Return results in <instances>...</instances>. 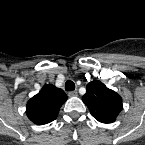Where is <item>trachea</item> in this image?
<instances>
[{
	"instance_id": "3493384b",
	"label": "trachea",
	"mask_w": 145,
	"mask_h": 145,
	"mask_svg": "<svg viewBox=\"0 0 145 145\" xmlns=\"http://www.w3.org/2000/svg\"><path fill=\"white\" fill-rule=\"evenodd\" d=\"M75 89V84L73 81L71 80H68L66 83H65V90L66 91H73Z\"/></svg>"
}]
</instances>
